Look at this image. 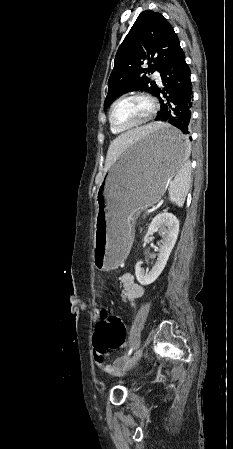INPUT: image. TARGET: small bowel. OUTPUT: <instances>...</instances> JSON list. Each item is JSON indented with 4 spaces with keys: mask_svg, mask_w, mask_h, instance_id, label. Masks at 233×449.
Returning <instances> with one entry per match:
<instances>
[{
    "mask_svg": "<svg viewBox=\"0 0 233 449\" xmlns=\"http://www.w3.org/2000/svg\"><path fill=\"white\" fill-rule=\"evenodd\" d=\"M121 288L124 292V296L129 303H133L137 298L141 297L143 294V287L136 283L134 274L132 272H125L120 277ZM101 311L97 310L94 313V317L96 321H100ZM94 360L98 367L103 369L108 374H115L118 372L119 368L124 364V358L118 357L113 360L111 363H107L105 359V355H101L95 351Z\"/></svg>",
    "mask_w": 233,
    "mask_h": 449,
    "instance_id": "c3829d8e",
    "label": "small bowel"
}]
</instances>
